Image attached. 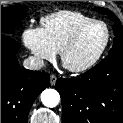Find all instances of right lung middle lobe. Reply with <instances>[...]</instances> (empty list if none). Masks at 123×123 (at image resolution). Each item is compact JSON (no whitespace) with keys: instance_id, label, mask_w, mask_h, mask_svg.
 <instances>
[{"instance_id":"dd1d6c3e","label":"right lung middle lobe","mask_w":123,"mask_h":123,"mask_svg":"<svg viewBox=\"0 0 123 123\" xmlns=\"http://www.w3.org/2000/svg\"><path fill=\"white\" fill-rule=\"evenodd\" d=\"M28 8L25 5H14L1 8V32L20 22L25 16Z\"/></svg>"}]
</instances>
